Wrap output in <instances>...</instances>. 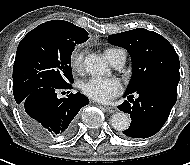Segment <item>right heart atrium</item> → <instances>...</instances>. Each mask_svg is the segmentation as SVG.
Here are the masks:
<instances>
[{
  "label": "right heart atrium",
  "instance_id": "d8ad5b80",
  "mask_svg": "<svg viewBox=\"0 0 190 165\" xmlns=\"http://www.w3.org/2000/svg\"><path fill=\"white\" fill-rule=\"evenodd\" d=\"M84 53L82 51L76 50L72 53L70 57V65L73 70L81 71L83 67Z\"/></svg>",
  "mask_w": 190,
  "mask_h": 165
}]
</instances>
